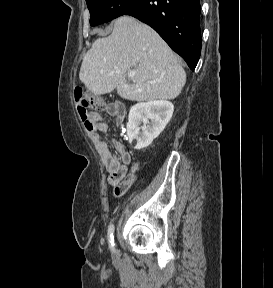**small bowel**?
<instances>
[{
	"label": "small bowel",
	"instance_id": "c3829d8e",
	"mask_svg": "<svg viewBox=\"0 0 273 288\" xmlns=\"http://www.w3.org/2000/svg\"><path fill=\"white\" fill-rule=\"evenodd\" d=\"M108 115L115 117L117 122L121 124L126 117V109L120 103H110L106 106ZM108 130V125L103 119L96 115L95 127L90 131L94 145L99 152L104 167L108 172V183L114 188V195L120 197L124 195L136 180L139 170V163L133 162L131 154L126 150L124 145L113 139L117 155L113 154L107 143L102 140L100 133H105ZM131 165L130 169L128 168Z\"/></svg>",
	"mask_w": 273,
	"mask_h": 288
}]
</instances>
